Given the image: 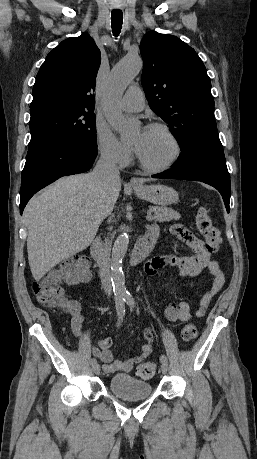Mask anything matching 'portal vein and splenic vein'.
<instances>
[{
  "mask_svg": "<svg viewBox=\"0 0 257 459\" xmlns=\"http://www.w3.org/2000/svg\"><path fill=\"white\" fill-rule=\"evenodd\" d=\"M153 217L151 216V214H147L146 216V220L147 221H152Z\"/></svg>",
  "mask_w": 257,
  "mask_h": 459,
  "instance_id": "1",
  "label": "portal vein and splenic vein"
}]
</instances>
